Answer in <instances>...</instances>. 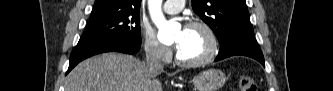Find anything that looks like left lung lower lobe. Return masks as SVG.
<instances>
[{"mask_svg":"<svg viewBox=\"0 0 333 91\" xmlns=\"http://www.w3.org/2000/svg\"><path fill=\"white\" fill-rule=\"evenodd\" d=\"M221 43L222 45L215 61L230 56L243 55L254 58L265 66L263 54L254 37L253 30L240 31L231 34Z\"/></svg>","mask_w":333,"mask_h":91,"instance_id":"left-lung-lower-lobe-1","label":"left lung lower lobe"}]
</instances>
